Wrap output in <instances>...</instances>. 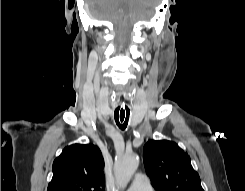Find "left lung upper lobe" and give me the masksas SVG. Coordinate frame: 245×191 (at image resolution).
I'll use <instances>...</instances> for the list:
<instances>
[{"mask_svg":"<svg viewBox=\"0 0 245 191\" xmlns=\"http://www.w3.org/2000/svg\"><path fill=\"white\" fill-rule=\"evenodd\" d=\"M145 169L157 191H204L190 156L175 142L151 140L143 149Z\"/></svg>","mask_w":245,"mask_h":191,"instance_id":"obj_1","label":"left lung upper lobe"}]
</instances>
